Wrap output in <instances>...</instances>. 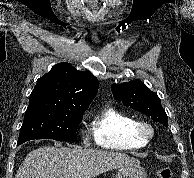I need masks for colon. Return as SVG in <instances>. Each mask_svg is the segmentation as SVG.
Here are the masks:
<instances>
[{
    "mask_svg": "<svg viewBox=\"0 0 194 178\" xmlns=\"http://www.w3.org/2000/svg\"><path fill=\"white\" fill-rule=\"evenodd\" d=\"M159 178H173V170L170 167H162L157 171Z\"/></svg>",
    "mask_w": 194,
    "mask_h": 178,
    "instance_id": "obj_1",
    "label": "colon"
}]
</instances>
